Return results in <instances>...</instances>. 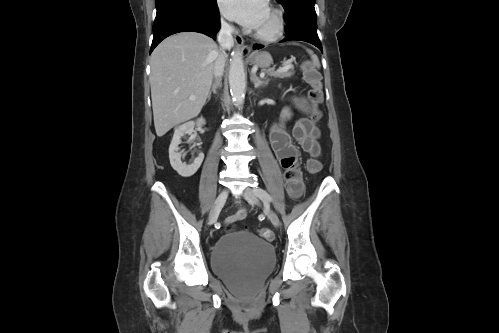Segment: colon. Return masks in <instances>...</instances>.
<instances>
[{"instance_id":"5ec220e1","label":"colon","mask_w":499,"mask_h":333,"mask_svg":"<svg viewBox=\"0 0 499 333\" xmlns=\"http://www.w3.org/2000/svg\"><path fill=\"white\" fill-rule=\"evenodd\" d=\"M303 74L305 81L310 85L308 99L314 107V112L311 116L312 121L317 122L321 118V113L318 109L319 104L323 100L322 81L319 72L309 63L306 62L303 66ZM306 171L309 175H317L322 168L320 161L316 158H309L306 162ZM232 231V227H228ZM259 234L262 238L271 241L273 233L268 228H261Z\"/></svg>"}]
</instances>
